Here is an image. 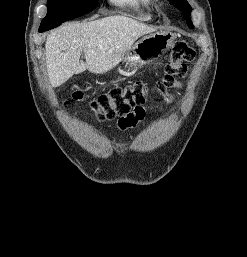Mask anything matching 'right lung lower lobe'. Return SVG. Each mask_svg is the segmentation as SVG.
Wrapping results in <instances>:
<instances>
[{
    "mask_svg": "<svg viewBox=\"0 0 247 257\" xmlns=\"http://www.w3.org/2000/svg\"><path fill=\"white\" fill-rule=\"evenodd\" d=\"M53 27H51V26H47V25H40V27H39V32H44V31H47V30H50V29H52Z\"/></svg>",
    "mask_w": 247,
    "mask_h": 257,
    "instance_id": "obj_1",
    "label": "right lung lower lobe"
}]
</instances>
